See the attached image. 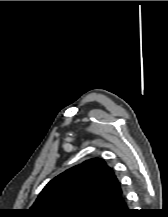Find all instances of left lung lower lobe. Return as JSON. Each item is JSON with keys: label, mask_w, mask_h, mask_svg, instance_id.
Wrapping results in <instances>:
<instances>
[{"label": "left lung lower lobe", "mask_w": 168, "mask_h": 217, "mask_svg": "<svg viewBox=\"0 0 168 217\" xmlns=\"http://www.w3.org/2000/svg\"><path fill=\"white\" fill-rule=\"evenodd\" d=\"M132 210L128 209L127 201L122 192L109 202L107 209L99 217H130Z\"/></svg>", "instance_id": "1"}]
</instances>
